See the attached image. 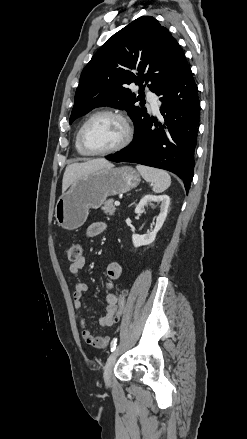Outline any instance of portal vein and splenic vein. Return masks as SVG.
Segmentation results:
<instances>
[{"mask_svg": "<svg viewBox=\"0 0 247 439\" xmlns=\"http://www.w3.org/2000/svg\"><path fill=\"white\" fill-rule=\"evenodd\" d=\"M114 205H115V206H119V205H120V202H119V201H115V202H114Z\"/></svg>", "mask_w": 247, "mask_h": 439, "instance_id": "18ae733b", "label": "portal vein and splenic vein"}]
</instances>
